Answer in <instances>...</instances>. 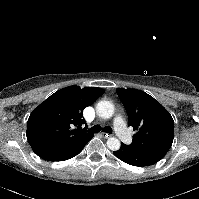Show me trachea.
<instances>
[{
	"instance_id": "1",
	"label": "trachea",
	"mask_w": 199,
	"mask_h": 199,
	"mask_svg": "<svg viewBox=\"0 0 199 199\" xmlns=\"http://www.w3.org/2000/svg\"><path fill=\"white\" fill-rule=\"evenodd\" d=\"M102 130V132H106V133H112V128L109 126H105L104 128H101V126L99 125H94L93 127H91L89 129L90 133H98Z\"/></svg>"
}]
</instances>
